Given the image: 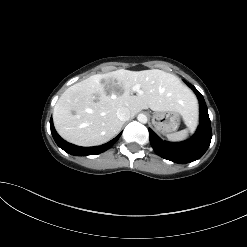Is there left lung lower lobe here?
Listing matches in <instances>:
<instances>
[{"instance_id": "0a47b994", "label": "left lung lower lobe", "mask_w": 247, "mask_h": 247, "mask_svg": "<svg viewBox=\"0 0 247 247\" xmlns=\"http://www.w3.org/2000/svg\"><path fill=\"white\" fill-rule=\"evenodd\" d=\"M186 84L195 92L200 105V125L195 134L186 141L172 143L163 141L151 128L148 129L154 151L160 157L180 164L193 162L202 157L212 138L211 123L204 98L193 85L187 82Z\"/></svg>"}]
</instances>
